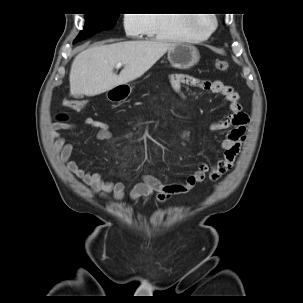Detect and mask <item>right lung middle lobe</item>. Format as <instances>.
<instances>
[{
  "mask_svg": "<svg viewBox=\"0 0 303 303\" xmlns=\"http://www.w3.org/2000/svg\"><path fill=\"white\" fill-rule=\"evenodd\" d=\"M118 17V13L86 14V23L84 29L78 35L74 43L91 37L97 32L113 28Z\"/></svg>",
  "mask_w": 303,
  "mask_h": 303,
  "instance_id": "right-lung-middle-lobe-1",
  "label": "right lung middle lobe"
}]
</instances>
